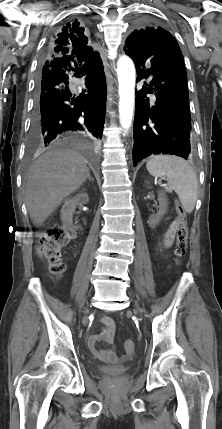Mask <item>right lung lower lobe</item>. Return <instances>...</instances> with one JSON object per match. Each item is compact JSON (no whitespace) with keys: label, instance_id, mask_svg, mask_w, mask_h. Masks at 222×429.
<instances>
[{"label":"right lung lower lobe","instance_id":"obj_1","mask_svg":"<svg viewBox=\"0 0 222 429\" xmlns=\"http://www.w3.org/2000/svg\"><path fill=\"white\" fill-rule=\"evenodd\" d=\"M75 66V67H74ZM32 115L31 137L48 146L84 132L101 139L106 102V80L100 55L79 62L70 55L50 56L41 64ZM85 76L86 89L73 95L69 72Z\"/></svg>","mask_w":222,"mask_h":429}]
</instances>
